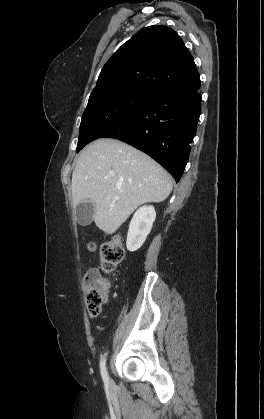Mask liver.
Segmentation results:
<instances>
[{
  "label": "liver",
  "mask_w": 264,
  "mask_h": 419,
  "mask_svg": "<svg viewBox=\"0 0 264 419\" xmlns=\"http://www.w3.org/2000/svg\"><path fill=\"white\" fill-rule=\"evenodd\" d=\"M169 174L136 148L98 139L80 154L72 174V201L94 205L96 226L114 233L141 204L164 201L172 191Z\"/></svg>",
  "instance_id": "obj_1"
}]
</instances>
